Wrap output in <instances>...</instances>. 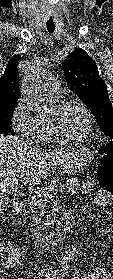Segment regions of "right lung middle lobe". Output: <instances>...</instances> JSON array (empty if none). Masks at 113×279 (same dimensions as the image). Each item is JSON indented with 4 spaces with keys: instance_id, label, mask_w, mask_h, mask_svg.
Returning a JSON list of instances; mask_svg holds the SVG:
<instances>
[{
    "instance_id": "obj_1",
    "label": "right lung middle lobe",
    "mask_w": 113,
    "mask_h": 279,
    "mask_svg": "<svg viewBox=\"0 0 113 279\" xmlns=\"http://www.w3.org/2000/svg\"><path fill=\"white\" fill-rule=\"evenodd\" d=\"M15 107L4 108L0 110V133L12 134L15 132L11 127V118Z\"/></svg>"
}]
</instances>
